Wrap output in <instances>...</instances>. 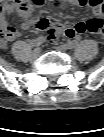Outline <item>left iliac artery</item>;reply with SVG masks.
Segmentation results:
<instances>
[{"mask_svg": "<svg viewBox=\"0 0 104 137\" xmlns=\"http://www.w3.org/2000/svg\"><path fill=\"white\" fill-rule=\"evenodd\" d=\"M77 45V41H72L71 43H69V47L73 48Z\"/></svg>", "mask_w": 104, "mask_h": 137, "instance_id": "obj_1", "label": "left iliac artery"}]
</instances>
